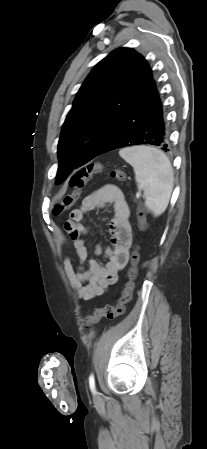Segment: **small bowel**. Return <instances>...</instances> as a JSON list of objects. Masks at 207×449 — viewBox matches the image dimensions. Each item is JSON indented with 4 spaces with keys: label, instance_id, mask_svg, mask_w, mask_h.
<instances>
[{
    "label": "small bowel",
    "instance_id": "1",
    "mask_svg": "<svg viewBox=\"0 0 207 449\" xmlns=\"http://www.w3.org/2000/svg\"><path fill=\"white\" fill-rule=\"evenodd\" d=\"M107 205L113 206L112 219L109 228L112 234V244L105 251V261L99 262L87 259V250L83 236L89 233L83 224L86 215ZM64 229L73 241L79 265L75 266L70 257H63V266L71 287L83 300H90L101 296L117 282L119 272L127 264L132 244V230L130 225V211L122 191L113 185L98 188L87 195L79 208L70 213L64 223ZM101 253V248H96ZM85 283V284H84Z\"/></svg>",
    "mask_w": 207,
    "mask_h": 449
}]
</instances>
